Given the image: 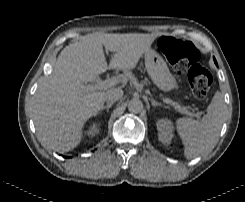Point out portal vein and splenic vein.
<instances>
[{
  "label": "portal vein and splenic vein",
  "mask_w": 245,
  "mask_h": 202,
  "mask_svg": "<svg viewBox=\"0 0 245 202\" xmlns=\"http://www.w3.org/2000/svg\"><path fill=\"white\" fill-rule=\"evenodd\" d=\"M119 82H121V79L119 77H113V78H110L107 80L98 81L97 84H95V85H87V86L83 85L82 89L84 91H87V92L98 91V90H106L110 87L117 85ZM163 102L166 104H170L172 107H174V109L178 110L179 112H181L183 114L194 115L193 113H190V112L186 111L185 109L177 106L176 103L170 99L163 98Z\"/></svg>",
  "instance_id": "1"
}]
</instances>
